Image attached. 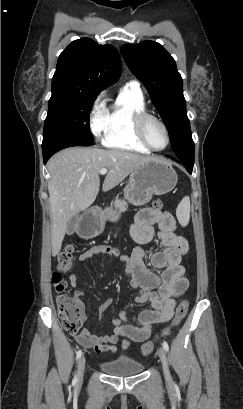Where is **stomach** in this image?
<instances>
[{
    "mask_svg": "<svg viewBox=\"0 0 243 409\" xmlns=\"http://www.w3.org/2000/svg\"><path fill=\"white\" fill-rule=\"evenodd\" d=\"M177 180V174L171 164L154 159L132 171L124 189V197L131 204L142 206L154 195L170 192L176 186ZM119 217V213L108 209L90 228H80L79 233L85 238L96 237L103 232L106 219L117 221Z\"/></svg>",
    "mask_w": 243,
    "mask_h": 409,
    "instance_id": "0dacf381",
    "label": "stomach"
}]
</instances>
